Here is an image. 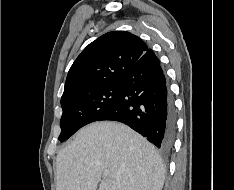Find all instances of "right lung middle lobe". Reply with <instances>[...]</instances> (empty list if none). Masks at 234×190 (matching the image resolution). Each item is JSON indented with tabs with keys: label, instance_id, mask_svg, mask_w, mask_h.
I'll return each instance as SVG.
<instances>
[{
	"label": "right lung middle lobe",
	"instance_id": "1",
	"mask_svg": "<svg viewBox=\"0 0 234 190\" xmlns=\"http://www.w3.org/2000/svg\"><path fill=\"white\" fill-rule=\"evenodd\" d=\"M121 84L119 82L75 94L63 101L60 120L61 142L67 140L81 127L98 121L116 102Z\"/></svg>",
	"mask_w": 234,
	"mask_h": 190
}]
</instances>
